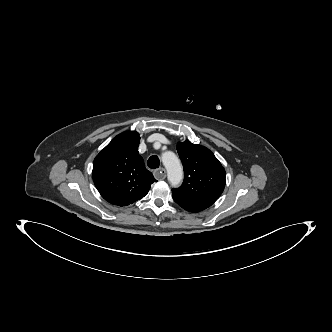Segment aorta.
I'll use <instances>...</instances> for the list:
<instances>
[{
  "label": "aorta",
  "instance_id": "aorta-1",
  "mask_svg": "<svg viewBox=\"0 0 332 332\" xmlns=\"http://www.w3.org/2000/svg\"><path fill=\"white\" fill-rule=\"evenodd\" d=\"M161 160L167 170L169 182L173 186L180 184L183 179V168L179 158L175 155V153L167 151L162 154Z\"/></svg>",
  "mask_w": 332,
  "mask_h": 332
}]
</instances>
